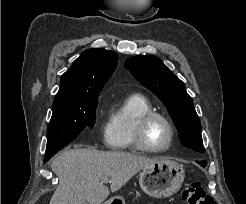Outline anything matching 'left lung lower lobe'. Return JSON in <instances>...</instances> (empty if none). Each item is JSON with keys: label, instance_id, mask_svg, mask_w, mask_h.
Wrapping results in <instances>:
<instances>
[{"label": "left lung lower lobe", "instance_id": "obj_1", "mask_svg": "<svg viewBox=\"0 0 246 204\" xmlns=\"http://www.w3.org/2000/svg\"><path fill=\"white\" fill-rule=\"evenodd\" d=\"M201 166H205V163L202 162H198Z\"/></svg>", "mask_w": 246, "mask_h": 204}]
</instances>
